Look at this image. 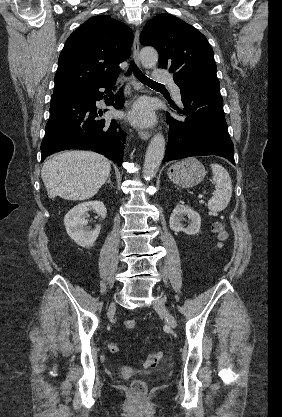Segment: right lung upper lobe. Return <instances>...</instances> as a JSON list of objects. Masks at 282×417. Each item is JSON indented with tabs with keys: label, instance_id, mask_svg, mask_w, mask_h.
I'll list each match as a JSON object with an SVG mask.
<instances>
[{
	"label": "right lung upper lobe",
	"instance_id": "cb5924a9",
	"mask_svg": "<svg viewBox=\"0 0 282 417\" xmlns=\"http://www.w3.org/2000/svg\"><path fill=\"white\" fill-rule=\"evenodd\" d=\"M132 41L131 29L110 16L87 20L69 36L59 56L53 95L117 79Z\"/></svg>",
	"mask_w": 282,
	"mask_h": 417
}]
</instances>
